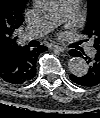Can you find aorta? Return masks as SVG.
<instances>
[{"instance_id":"obj_1","label":"aorta","mask_w":100,"mask_h":118,"mask_svg":"<svg viewBox=\"0 0 100 118\" xmlns=\"http://www.w3.org/2000/svg\"><path fill=\"white\" fill-rule=\"evenodd\" d=\"M36 7L42 12H50L56 9L57 0H35ZM69 71L75 76H84L88 73L89 66L86 61L80 57H72L68 61Z\"/></svg>"}]
</instances>
